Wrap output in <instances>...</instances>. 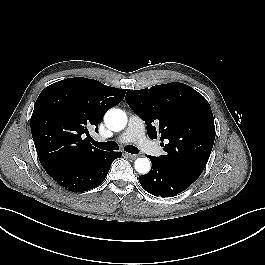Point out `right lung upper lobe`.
Wrapping results in <instances>:
<instances>
[{"label": "right lung upper lobe", "instance_id": "obj_1", "mask_svg": "<svg viewBox=\"0 0 265 265\" xmlns=\"http://www.w3.org/2000/svg\"><path fill=\"white\" fill-rule=\"evenodd\" d=\"M126 89L83 77L61 80L43 89L31 117V132L39 160L47 173L105 153L84 139L105 112L120 103Z\"/></svg>", "mask_w": 265, "mask_h": 265}]
</instances>
